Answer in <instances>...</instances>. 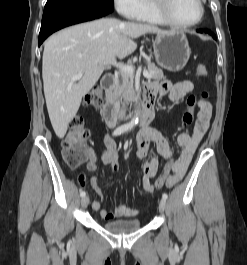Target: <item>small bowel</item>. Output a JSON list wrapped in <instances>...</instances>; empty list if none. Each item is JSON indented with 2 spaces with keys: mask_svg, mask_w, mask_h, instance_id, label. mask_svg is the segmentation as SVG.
Instances as JSON below:
<instances>
[{
  "mask_svg": "<svg viewBox=\"0 0 247 265\" xmlns=\"http://www.w3.org/2000/svg\"><path fill=\"white\" fill-rule=\"evenodd\" d=\"M147 89L152 91L154 95L159 93L160 95L167 96L170 101H177L191 93L194 89V84L189 80L174 84L165 80L161 82H153L148 85ZM194 98V96L189 97L188 102ZM195 108L198 109V114L193 132L191 134L181 133L177 137V143L182 148V151L178 158H176L173 170L174 174L166 183L168 187L174 186L183 178L198 144L209 127L212 115L211 104L207 100L197 99ZM151 145L155 146L158 154L163 159L167 160L172 157L168 140L158 130L152 127H144L141 129L137 139L136 157L143 161L141 187L144 191L149 193H152L155 190L151 179L156 176L159 165L157 158L150 155ZM116 156V143L111 137L106 136L104 139V150L100 159L103 163L109 165L112 171H116L119 167ZM86 167L91 172L96 171L98 168L97 156L91 149H87ZM79 181L81 186H85L84 178L82 176ZM91 185L96 193L101 196V188L96 177L91 179ZM91 206L94 211H99V216L103 220H112L119 217H134L139 214L138 210L123 204L116 206L111 212L105 209H100L101 203L97 199L93 200Z\"/></svg>",
  "mask_w": 247,
  "mask_h": 265,
  "instance_id": "small-bowel-1",
  "label": "small bowel"
}]
</instances>
